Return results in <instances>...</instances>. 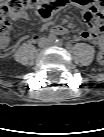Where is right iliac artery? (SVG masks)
<instances>
[{
	"instance_id": "obj_1",
	"label": "right iliac artery",
	"mask_w": 104,
	"mask_h": 137,
	"mask_svg": "<svg viewBox=\"0 0 104 137\" xmlns=\"http://www.w3.org/2000/svg\"><path fill=\"white\" fill-rule=\"evenodd\" d=\"M50 38H51L52 41H56V36L51 35Z\"/></svg>"
}]
</instances>
